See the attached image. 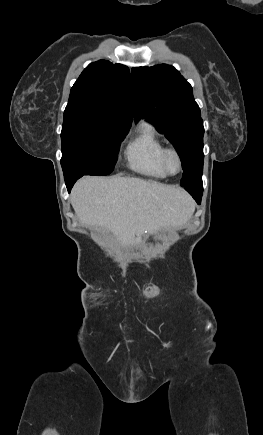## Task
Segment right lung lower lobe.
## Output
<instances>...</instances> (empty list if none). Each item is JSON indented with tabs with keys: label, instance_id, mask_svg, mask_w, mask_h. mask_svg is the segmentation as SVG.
Listing matches in <instances>:
<instances>
[{
	"label": "right lung lower lobe",
	"instance_id": "right-lung-lower-lobe-1",
	"mask_svg": "<svg viewBox=\"0 0 263 435\" xmlns=\"http://www.w3.org/2000/svg\"><path fill=\"white\" fill-rule=\"evenodd\" d=\"M80 177H82V175H77V176H73V177H70V178H68V179H65V183H66V187H67L68 192L71 191V188L73 187L74 183H75V182H76Z\"/></svg>",
	"mask_w": 263,
	"mask_h": 435
}]
</instances>
